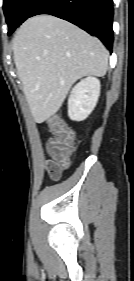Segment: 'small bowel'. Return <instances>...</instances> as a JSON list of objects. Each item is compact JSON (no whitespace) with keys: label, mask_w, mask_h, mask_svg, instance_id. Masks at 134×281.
I'll return each mask as SVG.
<instances>
[{"label":"small bowel","mask_w":134,"mask_h":281,"mask_svg":"<svg viewBox=\"0 0 134 281\" xmlns=\"http://www.w3.org/2000/svg\"><path fill=\"white\" fill-rule=\"evenodd\" d=\"M44 163L45 169L52 179L57 180L61 177L63 169L54 160L47 159Z\"/></svg>","instance_id":"1"}]
</instances>
